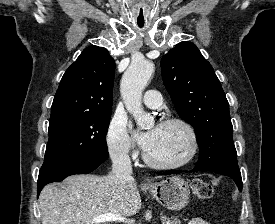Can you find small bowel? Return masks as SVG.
I'll return each instance as SVG.
<instances>
[{"mask_svg":"<svg viewBox=\"0 0 275 224\" xmlns=\"http://www.w3.org/2000/svg\"><path fill=\"white\" fill-rule=\"evenodd\" d=\"M188 224H209L206 220L202 218H192Z\"/></svg>","mask_w":275,"mask_h":224,"instance_id":"small-bowel-1","label":"small bowel"}]
</instances>
